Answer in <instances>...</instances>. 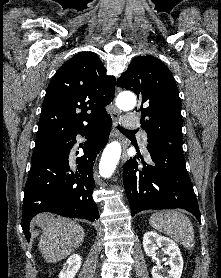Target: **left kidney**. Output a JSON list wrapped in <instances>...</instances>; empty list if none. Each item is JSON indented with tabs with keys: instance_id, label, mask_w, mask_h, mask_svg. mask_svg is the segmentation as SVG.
Listing matches in <instances>:
<instances>
[{
	"instance_id": "5707ae66",
	"label": "left kidney",
	"mask_w": 221,
	"mask_h": 278,
	"mask_svg": "<svg viewBox=\"0 0 221 278\" xmlns=\"http://www.w3.org/2000/svg\"><path fill=\"white\" fill-rule=\"evenodd\" d=\"M162 247V251L170 256L166 262L170 270L163 273L160 264L152 268L153 278H180L183 270V258L178 245L168 237L161 236L155 232H146L143 236V248L149 257L156 256V250Z\"/></svg>"
}]
</instances>
